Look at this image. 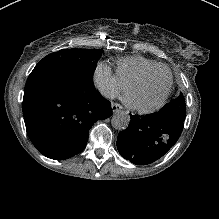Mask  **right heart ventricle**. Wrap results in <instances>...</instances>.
I'll use <instances>...</instances> for the list:
<instances>
[{"label": "right heart ventricle", "mask_w": 219, "mask_h": 219, "mask_svg": "<svg viewBox=\"0 0 219 219\" xmlns=\"http://www.w3.org/2000/svg\"><path fill=\"white\" fill-rule=\"evenodd\" d=\"M160 65V62L140 54L123 57L116 63V77L128 87L138 76L156 70Z\"/></svg>", "instance_id": "obj_1"}]
</instances>
